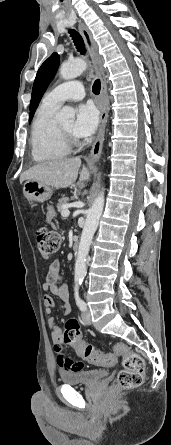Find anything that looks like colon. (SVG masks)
<instances>
[{"label": "colon", "instance_id": "colon-1", "mask_svg": "<svg viewBox=\"0 0 171 445\" xmlns=\"http://www.w3.org/2000/svg\"><path fill=\"white\" fill-rule=\"evenodd\" d=\"M40 255L44 258L52 257L60 245V236L55 231L40 226L34 232ZM63 341L73 347L86 361L98 365H110L114 357L94 349L83 341L79 321L70 318L66 321L63 333ZM115 354L122 356L123 369L118 373L115 382L111 386L112 392H119L135 388L141 385L145 374V362L136 352L123 344L115 345Z\"/></svg>", "mask_w": 171, "mask_h": 445}]
</instances>
